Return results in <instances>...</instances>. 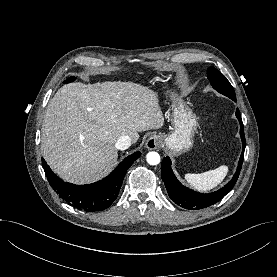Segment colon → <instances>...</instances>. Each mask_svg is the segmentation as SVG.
Masks as SVG:
<instances>
[{"mask_svg":"<svg viewBox=\"0 0 277 277\" xmlns=\"http://www.w3.org/2000/svg\"><path fill=\"white\" fill-rule=\"evenodd\" d=\"M73 81H74L73 78H68L64 83L68 84V83H71V82H73Z\"/></svg>","mask_w":277,"mask_h":277,"instance_id":"1","label":"colon"}]
</instances>
